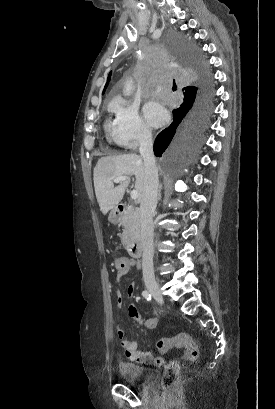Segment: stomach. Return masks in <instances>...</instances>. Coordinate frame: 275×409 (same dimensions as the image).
<instances>
[{"mask_svg": "<svg viewBox=\"0 0 275 409\" xmlns=\"http://www.w3.org/2000/svg\"><path fill=\"white\" fill-rule=\"evenodd\" d=\"M108 221L109 223H113V225H117V223H119L120 219H119V215H117L116 209H113V211H111L108 217Z\"/></svg>", "mask_w": 275, "mask_h": 409, "instance_id": "stomach-1", "label": "stomach"}]
</instances>
